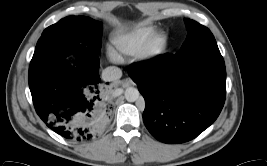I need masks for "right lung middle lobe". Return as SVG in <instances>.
Listing matches in <instances>:
<instances>
[{
    "mask_svg": "<svg viewBox=\"0 0 267 166\" xmlns=\"http://www.w3.org/2000/svg\"><path fill=\"white\" fill-rule=\"evenodd\" d=\"M102 24L85 16H69L46 28L44 34L69 36L96 52L101 49Z\"/></svg>",
    "mask_w": 267,
    "mask_h": 166,
    "instance_id": "dd1d6c3e",
    "label": "right lung middle lobe"
}]
</instances>
